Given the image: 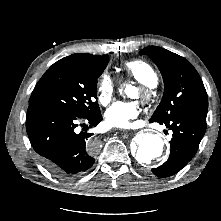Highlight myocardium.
<instances>
[{
  "label": "myocardium",
  "instance_id": "myocardium-1",
  "mask_svg": "<svg viewBox=\"0 0 221 221\" xmlns=\"http://www.w3.org/2000/svg\"><path fill=\"white\" fill-rule=\"evenodd\" d=\"M138 93H139L140 98L144 101L150 100L152 96L151 91L146 87H139Z\"/></svg>",
  "mask_w": 221,
  "mask_h": 221
}]
</instances>
